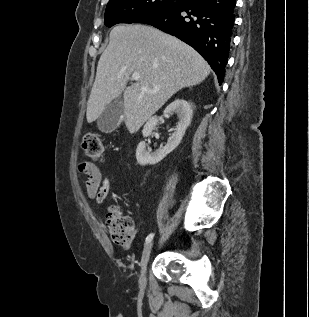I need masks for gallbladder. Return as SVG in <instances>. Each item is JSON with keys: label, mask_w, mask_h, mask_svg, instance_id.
<instances>
[{"label": "gallbladder", "mask_w": 309, "mask_h": 317, "mask_svg": "<svg viewBox=\"0 0 309 317\" xmlns=\"http://www.w3.org/2000/svg\"><path fill=\"white\" fill-rule=\"evenodd\" d=\"M124 103L121 96L108 104L97 119L98 129L104 133L113 132L121 123Z\"/></svg>", "instance_id": "obj_1"}]
</instances>
